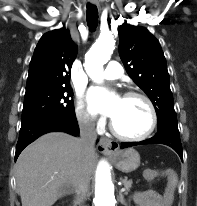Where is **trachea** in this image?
<instances>
[{
    "instance_id": "obj_1",
    "label": "trachea",
    "mask_w": 197,
    "mask_h": 206,
    "mask_svg": "<svg viewBox=\"0 0 197 206\" xmlns=\"http://www.w3.org/2000/svg\"><path fill=\"white\" fill-rule=\"evenodd\" d=\"M87 23L90 31H94L98 23V10L95 5L87 4Z\"/></svg>"
}]
</instances>
